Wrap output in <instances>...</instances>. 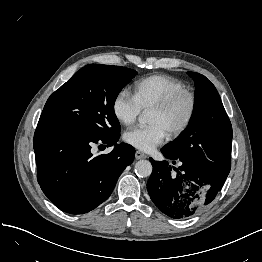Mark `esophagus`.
I'll return each instance as SVG.
<instances>
[{"instance_id":"34e87169","label":"esophagus","mask_w":262,"mask_h":262,"mask_svg":"<svg viewBox=\"0 0 262 262\" xmlns=\"http://www.w3.org/2000/svg\"><path fill=\"white\" fill-rule=\"evenodd\" d=\"M135 158L137 160H140V159H146L147 158V155L141 151H136L135 152Z\"/></svg>"}]
</instances>
